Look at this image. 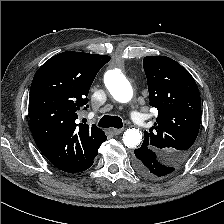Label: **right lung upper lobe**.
Here are the masks:
<instances>
[{
    "label": "right lung upper lobe",
    "instance_id": "cb5924a9",
    "mask_svg": "<svg viewBox=\"0 0 224 224\" xmlns=\"http://www.w3.org/2000/svg\"><path fill=\"white\" fill-rule=\"evenodd\" d=\"M109 56L66 51L51 57L35 73L29 96L34 141L58 169L82 172L107 139L95 125L77 124L90 86ZM86 109V107H85Z\"/></svg>",
    "mask_w": 224,
    "mask_h": 224
}]
</instances>
